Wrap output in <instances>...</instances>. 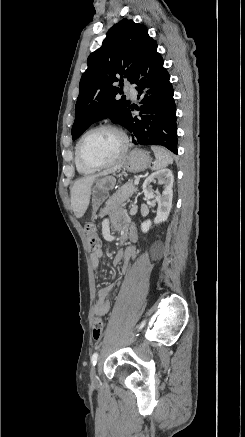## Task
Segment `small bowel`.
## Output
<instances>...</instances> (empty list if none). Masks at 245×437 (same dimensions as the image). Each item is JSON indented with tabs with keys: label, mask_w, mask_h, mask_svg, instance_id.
<instances>
[{
	"label": "small bowel",
	"mask_w": 245,
	"mask_h": 437,
	"mask_svg": "<svg viewBox=\"0 0 245 437\" xmlns=\"http://www.w3.org/2000/svg\"><path fill=\"white\" fill-rule=\"evenodd\" d=\"M114 223L122 231L125 238L130 241H135L137 238L136 230L133 225H129L123 222L119 215L114 217ZM103 256V251L98 248L91 255V262L94 267L99 265L100 259ZM136 256V250L134 246H128L124 250H119L114 258V263L117 264L123 261L121 271L123 274L127 273L129 270V262L134 260ZM117 286V283L107 284L101 287L97 293V299L94 304V313L98 316H105L110 311L109 295L111 291Z\"/></svg>",
	"instance_id": "small-bowel-1"
}]
</instances>
